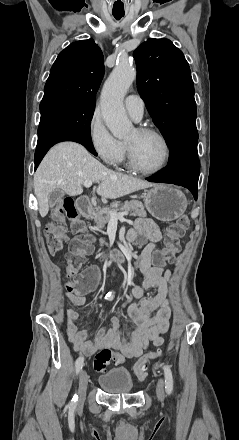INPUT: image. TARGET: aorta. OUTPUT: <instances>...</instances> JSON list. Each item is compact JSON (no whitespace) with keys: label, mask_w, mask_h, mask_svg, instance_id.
<instances>
[{"label":"aorta","mask_w":239,"mask_h":440,"mask_svg":"<svg viewBox=\"0 0 239 440\" xmlns=\"http://www.w3.org/2000/svg\"><path fill=\"white\" fill-rule=\"evenodd\" d=\"M135 78V68L130 66L128 60H121L120 58L101 92L102 116L107 128L118 140H125L127 136L134 132V126L126 114L123 100Z\"/></svg>","instance_id":"1"}]
</instances>
